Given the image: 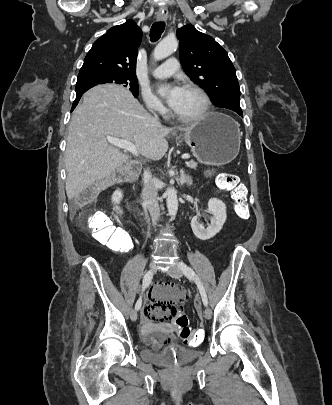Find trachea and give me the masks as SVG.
<instances>
[{
  "mask_svg": "<svg viewBox=\"0 0 332 405\" xmlns=\"http://www.w3.org/2000/svg\"><path fill=\"white\" fill-rule=\"evenodd\" d=\"M165 28V22L163 21H159V22H155L150 30V40L151 42H156L157 40H159V38L161 37V34L163 33Z\"/></svg>",
  "mask_w": 332,
  "mask_h": 405,
  "instance_id": "trachea-1",
  "label": "trachea"
}]
</instances>
